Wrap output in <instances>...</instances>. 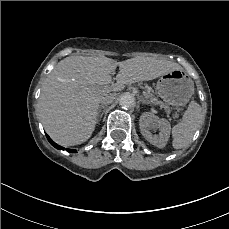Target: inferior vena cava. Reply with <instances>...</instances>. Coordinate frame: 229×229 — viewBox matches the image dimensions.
I'll use <instances>...</instances> for the list:
<instances>
[{"instance_id": "obj_1", "label": "inferior vena cava", "mask_w": 229, "mask_h": 229, "mask_svg": "<svg viewBox=\"0 0 229 229\" xmlns=\"http://www.w3.org/2000/svg\"><path fill=\"white\" fill-rule=\"evenodd\" d=\"M101 104H103L104 106H107V105L110 104V103H108V102L102 100V101H101Z\"/></svg>"}]
</instances>
